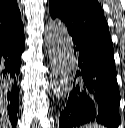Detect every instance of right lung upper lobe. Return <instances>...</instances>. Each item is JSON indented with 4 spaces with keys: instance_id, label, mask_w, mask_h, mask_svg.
<instances>
[{
    "instance_id": "1",
    "label": "right lung upper lobe",
    "mask_w": 125,
    "mask_h": 128,
    "mask_svg": "<svg viewBox=\"0 0 125 128\" xmlns=\"http://www.w3.org/2000/svg\"><path fill=\"white\" fill-rule=\"evenodd\" d=\"M23 27L16 0H0V37Z\"/></svg>"
}]
</instances>
